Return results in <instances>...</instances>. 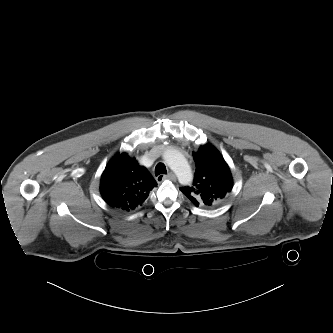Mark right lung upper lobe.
Listing matches in <instances>:
<instances>
[{
	"mask_svg": "<svg viewBox=\"0 0 333 333\" xmlns=\"http://www.w3.org/2000/svg\"><path fill=\"white\" fill-rule=\"evenodd\" d=\"M156 185L152 175L135 158L118 153L101 176L100 192L109 206L130 211L142 205Z\"/></svg>",
	"mask_w": 333,
	"mask_h": 333,
	"instance_id": "obj_1",
	"label": "right lung upper lobe"
}]
</instances>
